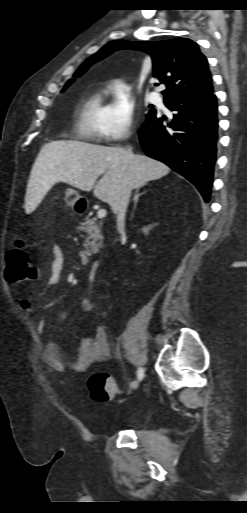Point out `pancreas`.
I'll return each mask as SVG.
<instances>
[{
  "label": "pancreas",
  "instance_id": "1",
  "mask_svg": "<svg viewBox=\"0 0 247 513\" xmlns=\"http://www.w3.org/2000/svg\"><path fill=\"white\" fill-rule=\"evenodd\" d=\"M102 223L98 222L96 218L85 217L80 221L78 226L79 231L87 233V237L83 246L85 251L81 252L82 256H91L98 252V248L102 246Z\"/></svg>",
  "mask_w": 247,
  "mask_h": 513
}]
</instances>
